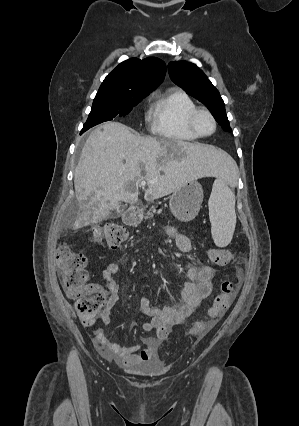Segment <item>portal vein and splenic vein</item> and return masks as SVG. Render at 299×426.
Masks as SVG:
<instances>
[{
	"label": "portal vein and splenic vein",
	"mask_w": 299,
	"mask_h": 426,
	"mask_svg": "<svg viewBox=\"0 0 299 426\" xmlns=\"http://www.w3.org/2000/svg\"><path fill=\"white\" fill-rule=\"evenodd\" d=\"M150 182H146V181H141L140 182V186L144 187L145 185L149 184Z\"/></svg>",
	"instance_id": "obj_1"
}]
</instances>
